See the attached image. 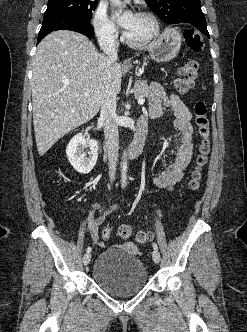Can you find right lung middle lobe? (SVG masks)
<instances>
[{"label":"right lung middle lobe","instance_id":"1","mask_svg":"<svg viewBox=\"0 0 247 332\" xmlns=\"http://www.w3.org/2000/svg\"><path fill=\"white\" fill-rule=\"evenodd\" d=\"M97 6V0H48V7L44 14H70L78 15L88 20Z\"/></svg>","mask_w":247,"mask_h":332}]
</instances>
